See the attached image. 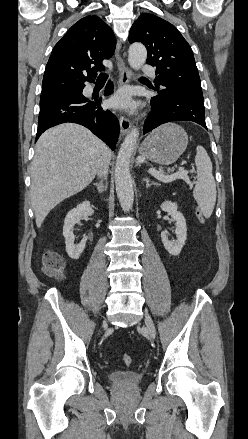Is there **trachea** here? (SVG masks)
Wrapping results in <instances>:
<instances>
[{
    "instance_id": "obj_1",
    "label": "trachea",
    "mask_w": 248,
    "mask_h": 439,
    "mask_svg": "<svg viewBox=\"0 0 248 439\" xmlns=\"http://www.w3.org/2000/svg\"><path fill=\"white\" fill-rule=\"evenodd\" d=\"M108 78V75L105 73H101L98 77V80H106Z\"/></svg>"
}]
</instances>
